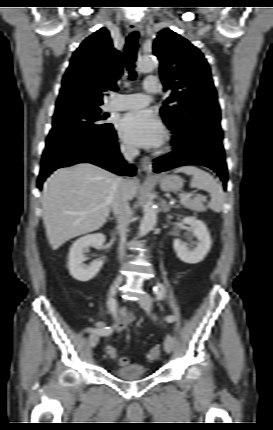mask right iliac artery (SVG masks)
I'll return each mask as SVG.
<instances>
[{"label":"right iliac artery","instance_id":"1","mask_svg":"<svg viewBox=\"0 0 273 430\" xmlns=\"http://www.w3.org/2000/svg\"><path fill=\"white\" fill-rule=\"evenodd\" d=\"M108 307H109V310L112 313L113 317L116 318L117 313H116V301H115V299L111 298L108 301ZM92 332H93V334L98 333L101 336H106L112 332V327H104L102 329H94V330H92Z\"/></svg>","mask_w":273,"mask_h":430}]
</instances>
